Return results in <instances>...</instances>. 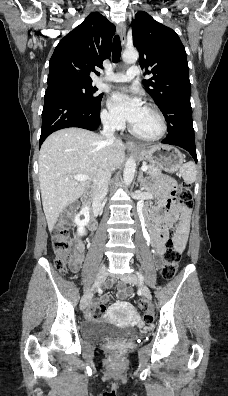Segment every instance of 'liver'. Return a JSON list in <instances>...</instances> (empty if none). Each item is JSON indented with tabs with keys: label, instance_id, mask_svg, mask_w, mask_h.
<instances>
[{
	"label": "liver",
	"instance_id": "6515ba94",
	"mask_svg": "<svg viewBox=\"0 0 228 396\" xmlns=\"http://www.w3.org/2000/svg\"><path fill=\"white\" fill-rule=\"evenodd\" d=\"M125 149L119 140L110 143L99 134L74 127L54 132L44 141L38 160L39 182L49 231L92 180L107 167L114 171L122 165ZM78 174L89 179L75 180L73 177Z\"/></svg>",
	"mask_w": 228,
	"mask_h": 396
}]
</instances>
